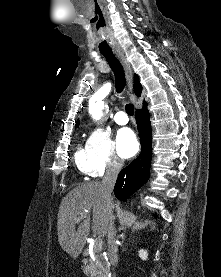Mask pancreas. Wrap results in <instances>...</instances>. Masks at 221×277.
Segmentation results:
<instances>
[{
    "label": "pancreas",
    "instance_id": "cf45deb5",
    "mask_svg": "<svg viewBox=\"0 0 221 277\" xmlns=\"http://www.w3.org/2000/svg\"><path fill=\"white\" fill-rule=\"evenodd\" d=\"M101 251L100 247L94 246L95 261L91 258L84 259L83 271L88 277H107L108 269L105 262H102V257L98 255Z\"/></svg>",
    "mask_w": 221,
    "mask_h": 277
}]
</instances>
